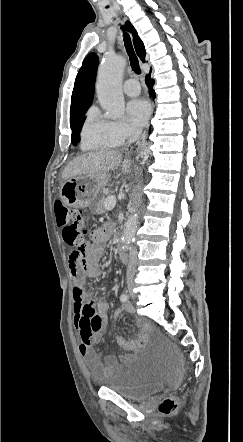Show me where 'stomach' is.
Wrapping results in <instances>:
<instances>
[{"instance_id": "1", "label": "stomach", "mask_w": 243, "mask_h": 442, "mask_svg": "<svg viewBox=\"0 0 243 442\" xmlns=\"http://www.w3.org/2000/svg\"><path fill=\"white\" fill-rule=\"evenodd\" d=\"M110 180L108 172L75 176L60 188V198L70 207L86 208Z\"/></svg>"}]
</instances>
